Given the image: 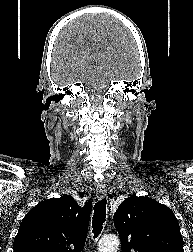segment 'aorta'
Listing matches in <instances>:
<instances>
[{"instance_id": "1", "label": "aorta", "mask_w": 193, "mask_h": 252, "mask_svg": "<svg viewBox=\"0 0 193 252\" xmlns=\"http://www.w3.org/2000/svg\"><path fill=\"white\" fill-rule=\"evenodd\" d=\"M119 239L116 236L103 237L99 242V252H117Z\"/></svg>"}]
</instances>
